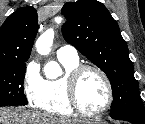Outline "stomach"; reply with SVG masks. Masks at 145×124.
<instances>
[{
    "mask_svg": "<svg viewBox=\"0 0 145 124\" xmlns=\"http://www.w3.org/2000/svg\"><path fill=\"white\" fill-rule=\"evenodd\" d=\"M87 124H103V123H100V122H88Z\"/></svg>",
    "mask_w": 145,
    "mask_h": 124,
    "instance_id": "obj_1",
    "label": "stomach"
}]
</instances>
